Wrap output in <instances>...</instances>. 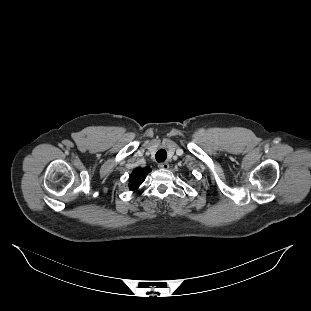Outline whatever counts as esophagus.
Returning <instances> with one entry per match:
<instances>
[{"label": "esophagus", "mask_w": 311, "mask_h": 311, "mask_svg": "<svg viewBox=\"0 0 311 311\" xmlns=\"http://www.w3.org/2000/svg\"><path fill=\"white\" fill-rule=\"evenodd\" d=\"M158 167H159L160 169L166 170V169L169 168V163H168V162L159 163V164H158Z\"/></svg>", "instance_id": "1"}]
</instances>
